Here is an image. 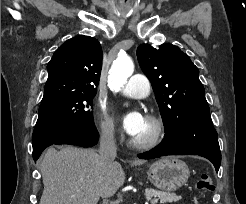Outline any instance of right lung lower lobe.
I'll return each mask as SVG.
<instances>
[{
  "label": "right lung lower lobe",
  "instance_id": "1",
  "mask_svg": "<svg viewBox=\"0 0 246 204\" xmlns=\"http://www.w3.org/2000/svg\"><path fill=\"white\" fill-rule=\"evenodd\" d=\"M99 135L96 128L77 126L64 129L41 128L34 130L32 136L33 159L36 161L41 153L50 145L72 144L83 147H92L98 141Z\"/></svg>",
  "mask_w": 246,
  "mask_h": 204
}]
</instances>
